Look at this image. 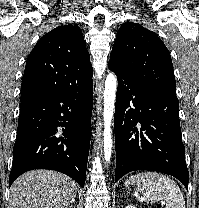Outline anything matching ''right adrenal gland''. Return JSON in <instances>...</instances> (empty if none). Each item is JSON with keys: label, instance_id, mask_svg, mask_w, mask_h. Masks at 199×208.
<instances>
[{"label": "right adrenal gland", "instance_id": "obj_1", "mask_svg": "<svg viewBox=\"0 0 199 208\" xmlns=\"http://www.w3.org/2000/svg\"><path fill=\"white\" fill-rule=\"evenodd\" d=\"M68 208H75V203L72 202Z\"/></svg>", "mask_w": 199, "mask_h": 208}]
</instances>
